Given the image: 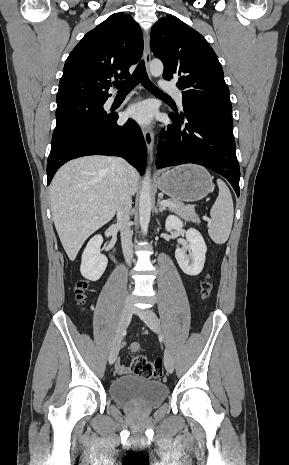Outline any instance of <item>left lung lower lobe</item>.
I'll return each instance as SVG.
<instances>
[{"label":"left lung lower lobe","instance_id":"1","mask_svg":"<svg viewBox=\"0 0 289 465\" xmlns=\"http://www.w3.org/2000/svg\"><path fill=\"white\" fill-rule=\"evenodd\" d=\"M184 115L171 113L174 121L160 134L156 165L185 163L208 167L225 177L239 196L240 169L229 112L196 106L183 98Z\"/></svg>","mask_w":289,"mask_h":465}]
</instances>
